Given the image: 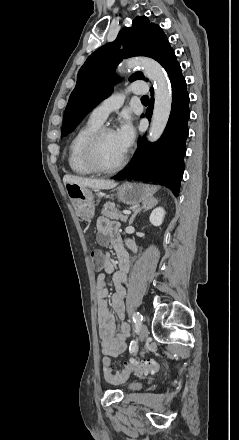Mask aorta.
Masks as SVG:
<instances>
[{
  "mask_svg": "<svg viewBox=\"0 0 239 440\" xmlns=\"http://www.w3.org/2000/svg\"><path fill=\"white\" fill-rule=\"evenodd\" d=\"M123 66L127 70L140 66L143 68L145 76L156 84L152 124L149 130V142H156L162 136L169 120L172 106L171 86L166 80L162 66L151 58H131V60H125Z\"/></svg>",
  "mask_w": 239,
  "mask_h": 440,
  "instance_id": "762f6f07",
  "label": "aorta"
}]
</instances>
